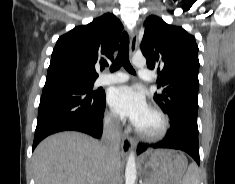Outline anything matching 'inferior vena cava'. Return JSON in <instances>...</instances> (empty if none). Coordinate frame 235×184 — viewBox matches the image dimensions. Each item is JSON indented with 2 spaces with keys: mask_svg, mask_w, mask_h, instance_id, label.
Wrapping results in <instances>:
<instances>
[{
  "mask_svg": "<svg viewBox=\"0 0 235 184\" xmlns=\"http://www.w3.org/2000/svg\"><path fill=\"white\" fill-rule=\"evenodd\" d=\"M121 140L120 122L117 118H111L104 124L101 144L109 156H119V144Z\"/></svg>",
  "mask_w": 235,
  "mask_h": 184,
  "instance_id": "602c4592",
  "label": "inferior vena cava"
}]
</instances>
